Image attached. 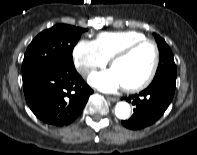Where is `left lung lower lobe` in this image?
Masks as SVG:
<instances>
[{
	"mask_svg": "<svg viewBox=\"0 0 197 155\" xmlns=\"http://www.w3.org/2000/svg\"><path fill=\"white\" fill-rule=\"evenodd\" d=\"M175 92V83L153 81L139 94L131 95L126 101L135 106L134 114L122 124L129 129H141L156 122L169 106Z\"/></svg>",
	"mask_w": 197,
	"mask_h": 155,
	"instance_id": "left-lung-lower-lobe-1",
	"label": "left lung lower lobe"
}]
</instances>
